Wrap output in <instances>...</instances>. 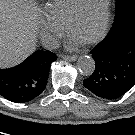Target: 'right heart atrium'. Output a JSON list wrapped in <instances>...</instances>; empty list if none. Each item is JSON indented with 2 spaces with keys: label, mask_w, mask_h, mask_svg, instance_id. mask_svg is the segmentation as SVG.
Wrapping results in <instances>:
<instances>
[{
  "label": "right heart atrium",
  "mask_w": 135,
  "mask_h": 135,
  "mask_svg": "<svg viewBox=\"0 0 135 135\" xmlns=\"http://www.w3.org/2000/svg\"><path fill=\"white\" fill-rule=\"evenodd\" d=\"M39 24H40L41 33L44 39L49 44H54L61 39L63 35L62 28L57 26L51 20H49L48 18H41Z\"/></svg>",
  "instance_id": "d8ad5b80"
}]
</instances>
